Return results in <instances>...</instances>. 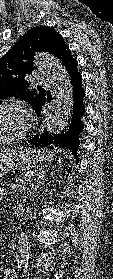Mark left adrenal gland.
<instances>
[{
  "label": "left adrenal gland",
  "instance_id": "a2214340",
  "mask_svg": "<svg viewBox=\"0 0 113 279\" xmlns=\"http://www.w3.org/2000/svg\"><path fill=\"white\" fill-rule=\"evenodd\" d=\"M47 175L46 172H42L39 177L35 180V183L31 186V192L34 194L37 191V188L43 185L44 180H46Z\"/></svg>",
  "mask_w": 113,
  "mask_h": 279
}]
</instances>
